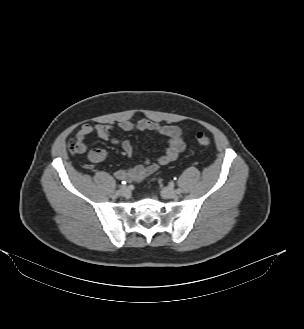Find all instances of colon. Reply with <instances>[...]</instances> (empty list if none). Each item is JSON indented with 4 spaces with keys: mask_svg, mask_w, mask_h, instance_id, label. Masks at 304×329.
<instances>
[{
    "mask_svg": "<svg viewBox=\"0 0 304 329\" xmlns=\"http://www.w3.org/2000/svg\"><path fill=\"white\" fill-rule=\"evenodd\" d=\"M196 140L200 146L208 147L211 145V139L203 132H198L196 134ZM69 149L71 152H77L79 149V145L75 140H71L69 143Z\"/></svg>",
    "mask_w": 304,
    "mask_h": 329,
    "instance_id": "5ec220e1",
    "label": "colon"
}]
</instances>
